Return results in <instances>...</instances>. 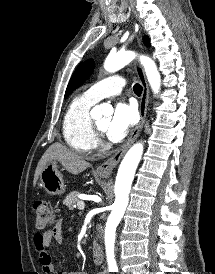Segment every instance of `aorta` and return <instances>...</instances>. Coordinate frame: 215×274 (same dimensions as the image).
<instances>
[{
    "instance_id": "obj_1",
    "label": "aorta",
    "mask_w": 215,
    "mask_h": 274,
    "mask_svg": "<svg viewBox=\"0 0 215 274\" xmlns=\"http://www.w3.org/2000/svg\"><path fill=\"white\" fill-rule=\"evenodd\" d=\"M136 54L133 51H119L109 54L104 62V68L108 72H115L127 64H129ZM140 62L144 66L147 79L154 93L160 90V74L157 70L155 62L146 57L140 56ZM113 108L109 104H100L95 106L91 115L94 118L102 116V114H111ZM143 154V144H134L124 156L115 181V202L107 222V232L105 234V244L107 253V263L111 272H117V264L114 257L115 245V227L123 217L124 211L128 205L129 193L137 166Z\"/></svg>"
}]
</instances>
